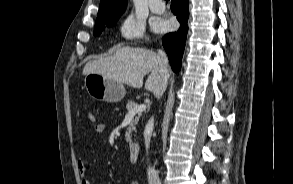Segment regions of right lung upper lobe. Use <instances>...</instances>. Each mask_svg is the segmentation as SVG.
<instances>
[{"instance_id":"1","label":"right lung upper lobe","mask_w":293,"mask_h":184,"mask_svg":"<svg viewBox=\"0 0 293 184\" xmlns=\"http://www.w3.org/2000/svg\"><path fill=\"white\" fill-rule=\"evenodd\" d=\"M126 5L127 0H101L95 25L118 20Z\"/></svg>"}]
</instances>
